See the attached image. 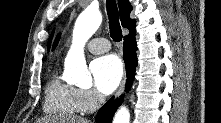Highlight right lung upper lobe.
I'll return each mask as SVG.
<instances>
[{"label":"right lung upper lobe","mask_w":221,"mask_h":123,"mask_svg":"<svg viewBox=\"0 0 221 123\" xmlns=\"http://www.w3.org/2000/svg\"><path fill=\"white\" fill-rule=\"evenodd\" d=\"M118 6L120 10L121 24L124 28L129 29L128 35L135 34V20L129 17L132 10V6L128 0H118ZM54 32V31H53ZM53 32L48 41V49L50 48Z\"/></svg>","instance_id":"1"}]
</instances>
